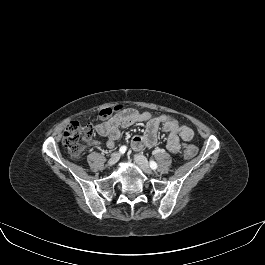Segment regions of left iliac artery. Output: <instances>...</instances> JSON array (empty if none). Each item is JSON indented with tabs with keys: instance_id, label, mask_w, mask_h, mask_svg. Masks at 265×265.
Returning a JSON list of instances; mask_svg holds the SVG:
<instances>
[{
	"instance_id": "obj_1",
	"label": "left iliac artery",
	"mask_w": 265,
	"mask_h": 265,
	"mask_svg": "<svg viewBox=\"0 0 265 265\" xmlns=\"http://www.w3.org/2000/svg\"><path fill=\"white\" fill-rule=\"evenodd\" d=\"M150 167L154 170L157 168V163L155 161H150Z\"/></svg>"
}]
</instances>
